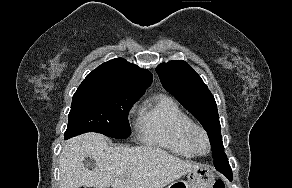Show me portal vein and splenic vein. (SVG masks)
Segmentation results:
<instances>
[{"label":"portal vein and splenic vein","mask_w":292,"mask_h":188,"mask_svg":"<svg viewBox=\"0 0 292 188\" xmlns=\"http://www.w3.org/2000/svg\"><path fill=\"white\" fill-rule=\"evenodd\" d=\"M122 174H123L122 171L117 172V175H122Z\"/></svg>","instance_id":"1"}]
</instances>
